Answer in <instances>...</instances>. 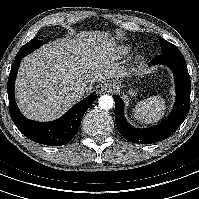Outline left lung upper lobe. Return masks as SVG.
<instances>
[{"instance_id": "obj_1", "label": "left lung upper lobe", "mask_w": 199, "mask_h": 199, "mask_svg": "<svg viewBox=\"0 0 199 199\" xmlns=\"http://www.w3.org/2000/svg\"><path fill=\"white\" fill-rule=\"evenodd\" d=\"M160 46H161V52H167V51H179L178 48L173 45L172 43L164 40L163 38H160Z\"/></svg>"}]
</instances>
